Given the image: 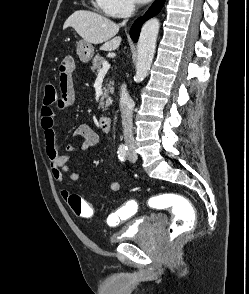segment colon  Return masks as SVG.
Segmentation results:
<instances>
[{
  "instance_id": "5ec220e1",
  "label": "colon",
  "mask_w": 249,
  "mask_h": 294,
  "mask_svg": "<svg viewBox=\"0 0 249 294\" xmlns=\"http://www.w3.org/2000/svg\"><path fill=\"white\" fill-rule=\"evenodd\" d=\"M71 69V59L65 57L59 64V73L65 76ZM60 99L59 91L54 84L48 83L44 88L45 105H53ZM68 203L76 216L91 217L93 212L89 204L79 195L73 194L68 198ZM149 204L156 208L169 206L173 209L174 218L168 226V238L170 241L177 240L182 234L192 230L195 224V211L190 201L176 194H164L150 198ZM138 209L135 200L127 201L121 208L122 219L133 216Z\"/></svg>"
}]
</instances>
